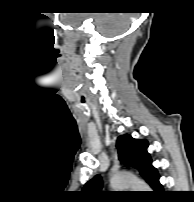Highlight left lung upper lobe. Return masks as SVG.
Wrapping results in <instances>:
<instances>
[{
	"label": "left lung upper lobe",
	"instance_id": "left-lung-upper-lobe-1",
	"mask_svg": "<svg viewBox=\"0 0 194 202\" xmlns=\"http://www.w3.org/2000/svg\"><path fill=\"white\" fill-rule=\"evenodd\" d=\"M116 147L120 161L125 165L136 168L149 184L158 175L146 150L148 147L146 140H137L130 135H122L118 138ZM101 188V177L96 175L86 183L83 192L91 195L98 194L101 192Z\"/></svg>",
	"mask_w": 194,
	"mask_h": 202
}]
</instances>
